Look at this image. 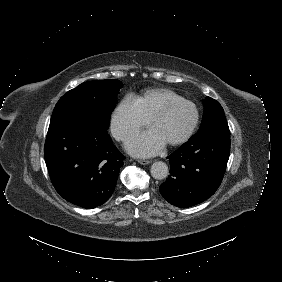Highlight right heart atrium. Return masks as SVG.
Segmentation results:
<instances>
[{"instance_id":"right-heart-atrium-1","label":"right heart atrium","mask_w":282,"mask_h":282,"mask_svg":"<svg viewBox=\"0 0 282 282\" xmlns=\"http://www.w3.org/2000/svg\"><path fill=\"white\" fill-rule=\"evenodd\" d=\"M149 121L136 99L126 96L112 114L111 131L116 139L125 141L137 130L146 127Z\"/></svg>"}]
</instances>
